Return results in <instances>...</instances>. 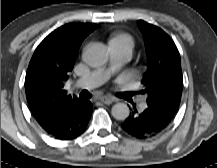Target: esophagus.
<instances>
[{
    "instance_id": "1",
    "label": "esophagus",
    "mask_w": 217,
    "mask_h": 168,
    "mask_svg": "<svg viewBox=\"0 0 217 168\" xmlns=\"http://www.w3.org/2000/svg\"><path fill=\"white\" fill-rule=\"evenodd\" d=\"M99 100L101 102H103L104 104L109 105L115 100V98L112 97V96H102V97L99 98Z\"/></svg>"
}]
</instances>
